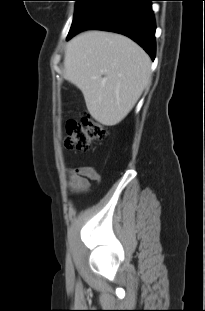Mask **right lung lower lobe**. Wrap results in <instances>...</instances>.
<instances>
[{
	"label": "right lung lower lobe",
	"instance_id": "1",
	"mask_svg": "<svg viewBox=\"0 0 205 311\" xmlns=\"http://www.w3.org/2000/svg\"><path fill=\"white\" fill-rule=\"evenodd\" d=\"M153 0H90L67 40L87 29H99L126 35L155 58V20Z\"/></svg>",
	"mask_w": 205,
	"mask_h": 311
}]
</instances>
